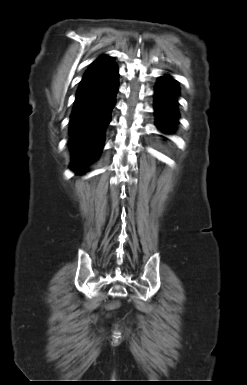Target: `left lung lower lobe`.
<instances>
[{
  "label": "left lung lower lobe",
  "instance_id": "obj_1",
  "mask_svg": "<svg viewBox=\"0 0 247 385\" xmlns=\"http://www.w3.org/2000/svg\"><path fill=\"white\" fill-rule=\"evenodd\" d=\"M179 88L176 80L169 76L159 78L155 87V114L157 127L166 133L172 132L178 120L177 97Z\"/></svg>",
  "mask_w": 247,
  "mask_h": 385
}]
</instances>
